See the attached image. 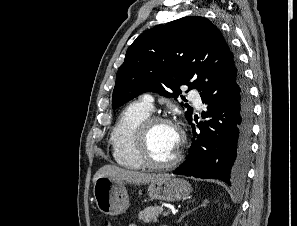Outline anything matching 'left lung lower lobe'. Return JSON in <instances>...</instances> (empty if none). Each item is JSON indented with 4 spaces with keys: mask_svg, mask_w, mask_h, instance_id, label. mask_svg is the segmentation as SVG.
I'll return each instance as SVG.
<instances>
[{
    "mask_svg": "<svg viewBox=\"0 0 297 226\" xmlns=\"http://www.w3.org/2000/svg\"><path fill=\"white\" fill-rule=\"evenodd\" d=\"M200 96L208 105L202 114L208 120L198 124L199 134L193 126V143L187 159L173 174L240 185L246 178L250 158L253 117L244 77L241 73L232 84L205 86ZM189 123L192 124V119Z\"/></svg>",
    "mask_w": 297,
    "mask_h": 226,
    "instance_id": "1",
    "label": "left lung lower lobe"
}]
</instances>
